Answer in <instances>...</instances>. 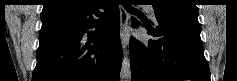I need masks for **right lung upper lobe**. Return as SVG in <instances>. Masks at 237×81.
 I'll return each mask as SVG.
<instances>
[{"label": "right lung upper lobe", "instance_id": "1", "mask_svg": "<svg viewBox=\"0 0 237 81\" xmlns=\"http://www.w3.org/2000/svg\"><path fill=\"white\" fill-rule=\"evenodd\" d=\"M89 0H45L41 20L78 12L88 5Z\"/></svg>", "mask_w": 237, "mask_h": 81}]
</instances>
